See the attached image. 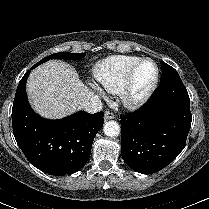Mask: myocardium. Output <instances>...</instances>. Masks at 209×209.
Wrapping results in <instances>:
<instances>
[{
	"label": "myocardium",
	"mask_w": 209,
	"mask_h": 209,
	"mask_svg": "<svg viewBox=\"0 0 209 209\" xmlns=\"http://www.w3.org/2000/svg\"><path fill=\"white\" fill-rule=\"evenodd\" d=\"M151 62L155 67V76L153 82L149 86V88L140 95H135L133 93V79L136 70L143 62ZM160 78V70L157 63L148 57L140 58L137 62H135L131 68L129 69L123 86L120 90V97L121 101L127 108L135 109L145 105L149 99L152 97L153 93L155 92Z\"/></svg>",
	"instance_id": "1"
}]
</instances>
